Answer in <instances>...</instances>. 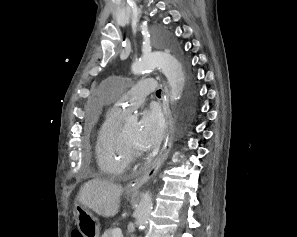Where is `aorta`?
I'll return each mask as SVG.
<instances>
[{"instance_id":"1","label":"aorta","mask_w":297,"mask_h":237,"mask_svg":"<svg viewBox=\"0 0 297 237\" xmlns=\"http://www.w3.org/2000/svg\"><path fill=\"white\" fill-rule=\"evenodd\" d=\"M160 69L166 76L170 86V98L176 102L181 98L185 86V75L181 63L168 52H154L143 56L131 66L133 74L140 75L145 71ZM128 123L136 122L135 117H128ZM153 202L149 192L143 194L136 209V224L140 231L144 230L150 220Z\"/></svg>"}]
</instances>
